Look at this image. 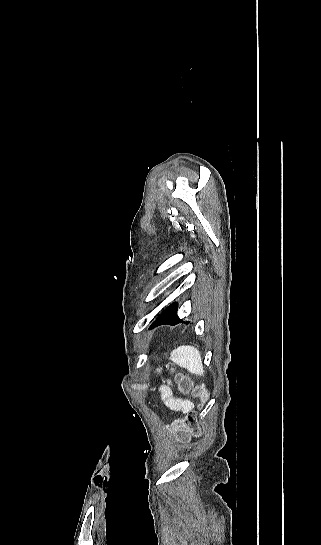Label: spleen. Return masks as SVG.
<instances>
[{
  "label": "spleen",
  "instance_id": "obj_1",
  "mask_svg": "<svg viewBox=\"0 0 321 545\" xmlns=\"http://www.w3.org/2000/svg\"><path fill=\"white\" fill-rule=\"evenodd\" d=\"M171 361L187 369L192 375H204V369L202 365V359L200 351L195 349V347H190V345H183V347H177L174 349L170 355Z\"/></svg>",
  "mask_w": 321,
  "mask_h": 545
}]
</instances>
